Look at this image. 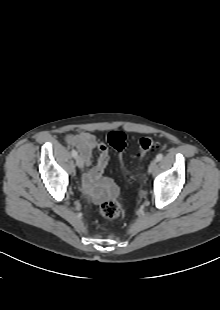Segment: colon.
Instances as JSON below:
<instances>
[{
  "instance_id": "colon-1",
  "label": "colon",
  "mask_w": 220,
  "mask_h": 310,
  "mask_svg": "<svg viewBox=\"0 0 220 310\" xmlns=\"http://www.w3.org/2000/svg\"><path fill=\"white\" fill-rule=\"evenodd\" d=\"M108 143L116 150L120 159L122 152L126 146V136L120 131H113L108 135ZM159 145V141L155 137H142L139 140V150L141 156L146 155L147 153L155 150ZM126 178L129 181L135 179L134 175L131 173H126ZM118 194V189L114 188L112 192V198L104 201L100 206V213L106 219H115L118 218L122 213V204L120 200L116 197Z\"/></svg>"
}]
</instances>
